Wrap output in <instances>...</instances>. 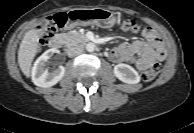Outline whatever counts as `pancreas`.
I'll return each instance as SVG.
<instances>
[{
  "mask_svg": "<svg viewBox=\"0 0 194 133\" xmlns=\"http://www.w3.org/2000/svg\"><path fill=\"white\" fill-rule=\"evenodd\" d=\"M62 36L67 46H73L87 41L86 36L83 33L77 31L63 33Z\"/></svg>",
  "mask_w": 194,
  "mask_h": 133,
  "instance_id": "pancreas-1",
  "label": "pancreas"
}]
</instances>
